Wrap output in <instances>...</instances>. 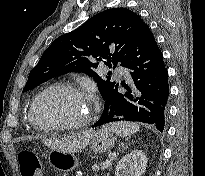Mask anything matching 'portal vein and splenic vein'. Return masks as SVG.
I'll return each instance as SVG.
<instances>
[{"label": "portal vein and splenic vein", "instance_id": "1", "mask_svg": "<svg viewBox=\"0 0 205 176\" xmlns=\"http://www.w3.org/2000/svg\"><path fill=\"white\" fill-rule=\"evenodd\" d=\"M110 160H106L104 163H103V165H102V167H101V170H105L106 168H108L109 166H110Z\"/></svg>", "mask_w": 205, "mask_h": 176}]
</instances>
